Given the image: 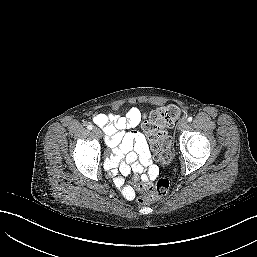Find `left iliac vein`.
<instances>
[{
  "instance_id": "1",
  "label": "left iliac vein",
  "mask_w": 257,
  "mask_h": 257,
  "mask_svg": "<svg viewBox=\"0 0 257 257\" xmlns=\"http://www.w3.org/2000/svg\"><path fill=\"white\" fill-rule=\"evenodd\" d=\"M187 126H188L187 120H186V119H182V120L178 123L177 128H178V130H184V129L187 128Z\"/></svg>"
}]
</instances>
